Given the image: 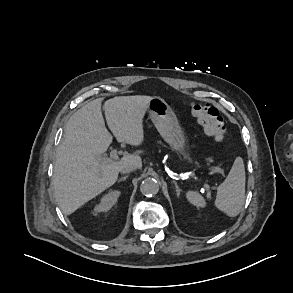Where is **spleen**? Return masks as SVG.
<instances>
[{
    "label": "spleen",
    "mask_w": 293,
    "mask_h": 293,
    "mask_svg": "<svg viewBox=\"0 0 293 293\" xmlns=\"http://www.w3.org/2000/svg\"><path fill=\"white\" fill-rule=\"evenodd\" d=\"M188 202L197 208L206 206L205 199L196 191L186 193ZM245 201V167L243 159L237 157L225 181L217 188L215 207L229 217L237 216Z\"/></svg>",
    "instance_id": "spleen-1"
}]
</instances>
